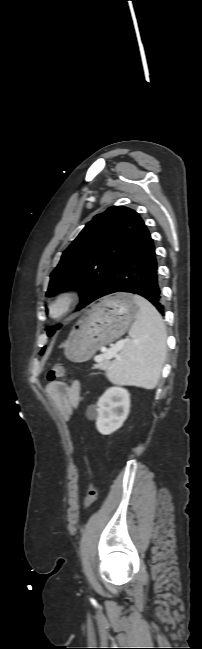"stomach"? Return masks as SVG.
Listing matches in <instances>:
<instances>
[{
	"label": "stomach",
	"mask_w": 202,
	"mask_h": 649,
	"mask_svg": "<svg viewBox=\"0 0 202 649\" xmlns=\"http://www.w3.org/2000/svg\"><path fill=\"white\" fill-rule=\"evenodd\" d=\"M138 313L139 306L129 293L103 298L73 327L65 345L66 358L74 362L89 360L102 346L123 335Z\"/></svg>",
	"instance_id": "obj_1"
}]
</instances>
